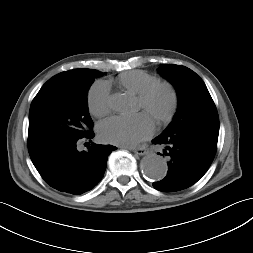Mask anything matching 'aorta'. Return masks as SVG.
Segmentation results:
<instances>
[{"mask_svg": "<svg viewBox=\"0 0 253 253\" xmlns=\"http://www.w3.org/2000/svg\"><path fill=\"white\" fill-rule=\"evenodd\" d=\"M110 106L117 112H128L132 109V99L122 93L111 96ZM141 170L145 177L153 181L162 180L167 174V164L164 159L154 153H150L141 160Z\"/></svg>", "mask_w": 253, "mask_h": 253, "instance_id": "obj_1", "label": "aorta"}]
</instances>
